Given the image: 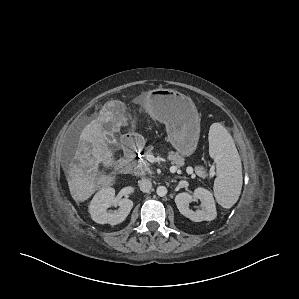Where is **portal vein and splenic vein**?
Instances as JSON below:
<instances>
[{
  "label": "portal vein and splenic vein",
  "mask_w": 299,
  "mask_h": 299,
  "mask_svg": "<svg viewBox=\"0 0 299 299\" xmlns=\"http://www.w3.org/2000/svg\"><path fill=\"white\" fill-rule=\"evenodd\" d=\"M170 171L172 173L176 172L177 171V167L176 166H171L170 167ZM189 174H193V168L192 167H187V170H186Z\"/></svg>",
  "instance_id": "1"
}]
</instances>
